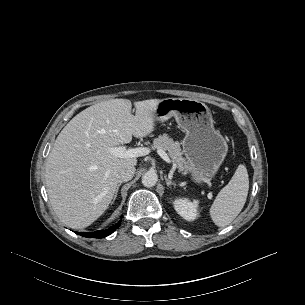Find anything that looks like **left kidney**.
<instances>
[{"label":"left kidney","instance_id":"1","mask_svg":"<svg viewBox=\"0 0 305 305\" xmlns=\"http://www.w3.org/2000/svg\"><path fill=\"white\" fill-rule=\"evenodd\" d=\"M173 204L176 212L185 220L192 221L198 217V200L191 202L186 198H179Z\"/></svg>","mask_w":305,"mask_h":305}]
</instances>
